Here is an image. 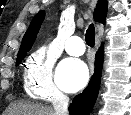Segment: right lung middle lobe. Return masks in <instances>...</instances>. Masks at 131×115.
Listing matches in <instances>:
<instances>
[{"instance_id": "dd1d6c3e", "label": "right lung middle lobe", "mask_w": 131, "mask_h": 115, "mask_svg": "<svg viewBox=\"0 0 131 115\" xmlns=\"http://www.w3.org/2000/svg\"><path fill=\"white\" fill-rule=\"evenodd\" d=\"M26 54H27V52H25L24 54H22L19 57H17L16 66H18L21 63V61L24 59Z\"/></svg>"}]
</instances>
